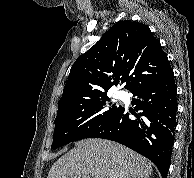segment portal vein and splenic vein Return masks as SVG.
<instances>
[{
	"mask_svg": "<svg viewBox=\"0 0 194 178\" xmlns=\"http://www.w3.org/2000/svg\"><path fill=\"white\" fill-rule=\"evenodd\" d=\"M75 178H90L89 175H83L82 177H75Z\"/></svg>",
	"mask_w": 194,
	"mask_h": 178,
	"instance_id": "obj_1",
	"label": "portal vein and splenic vein"
}]
</instances>
